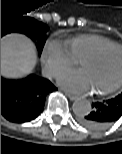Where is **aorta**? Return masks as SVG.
I'll return each mask as SVG.
<instances>
[{
	"instance_id": "aorta-1",
	"label": "aorta",
	"mask_w": 122,
	"mask_h": 154,
	"mask_svg": "<svg viewBox=\"0 0 122 154\" xmlns=\"http://www.w3.org/2000/svg\"><path fill=\"white\" fill-rule=\"evenodd\" d=\"M72 109L77 116H85L91 112V103L86 99L79 98L74 101Z\"/></svg>"
}]
</instances>
